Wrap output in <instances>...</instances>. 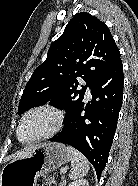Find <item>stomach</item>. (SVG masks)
Returning <instances> with one entry per match:
<instances>
[{"instance_id": "stomach-1", "label": "stomach", "mask_w": 138, "mask_h": 186, "mask_svg": "<svg viewBox=\"0 0 138 186\" xmlns=\"http://www.w3.org/2000/svg\"><path fill=\"white\" fill-rule=\"evenodd\" d=\"M71 160L67 147L61 143L37 146L29 155L14 158L0 174V186H36L38 177Z\"/></svg>"}]
</instances>
